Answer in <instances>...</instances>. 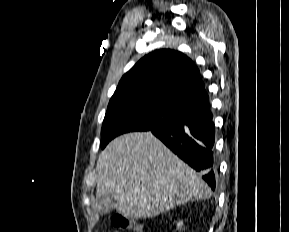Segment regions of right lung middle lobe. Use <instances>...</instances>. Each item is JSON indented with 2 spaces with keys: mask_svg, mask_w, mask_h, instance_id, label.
I'll list each match as a JSON object with an SVG mask.
<instances>
[{
  "mask_svg": "<svg viewBox=\"0 0 289 232\" xmlns=\"http://www.w3.org/2000/svg\"><path fill=\"white\" fill-rule=\"evenodd\" d=\"M181 112L145 98H111L101 130L102 148L122 133L151 130L176 119Z\"/></svg>",
  "mask_w": 289,
  "mask_h": 232,
  "instance_id": "right-lung-middle-lobe-1",
  "label": "right lung middle lobe"
}]
</instances>
